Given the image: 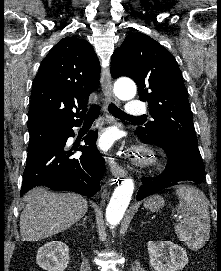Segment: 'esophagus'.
I'll use <instances>...</instances> for the list:
<instances>
[{
    "label": "esophagus",
    "instance_id": "obj_1",
    "mask_svg": "<svg viewBox=\"0 0 221 271\" xmlns=\"http://www.w3.org/2000/svg\"><path fill=\"white\" fill-rule=\"evenodd\" d=\"M101 87L102 91L107 99L108 102H113L115 104H119L118 98L114 95L112 91V84H111V75L108 68H104L101 73ZM108 164L113 176H120L124 177L126 175V171L119 166L118 163L111 157L108 158Z\"/></svg>",
    "mask_w": 221,
    "mask_h": 271
}]
</instances>
